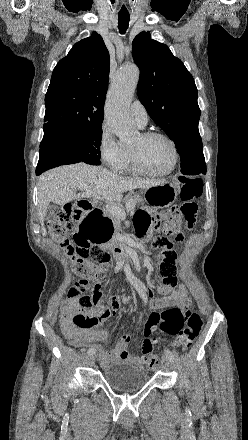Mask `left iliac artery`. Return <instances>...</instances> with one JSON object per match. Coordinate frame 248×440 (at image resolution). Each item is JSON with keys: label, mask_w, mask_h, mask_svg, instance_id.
<instances>
[{"label": "left iliac artery", "mask_w": 248, "mask_h": 440, "mask_svg": "<svg viewBox=\"0 0 248 440\" xmlns=\"http://www.w3.org/2000/svg\"><path fill=\"white\" fill-rule=\"evenodd\" d=\"M165 355H166V357H168L171 361H174V359H175L174 354H173L169 349H165Z\"/></svg>", "instance_id": "1"}]
</instances>
